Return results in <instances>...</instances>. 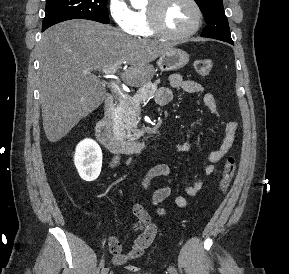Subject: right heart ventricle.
<instances>
[{
  "label": "right heart ventricle",
  "instance_id": "obj_1",
  "mask_svg": "<svg viewBox=\"0 0 289 274\" xmlns=\"http://www.w3.org/2000/svg\"><path fill=\"white\" fill-rule=\"evenodd\" d=\"M134 18H135V31L133 33L134 35L138 37H153L155 35L149 24L148 9H142L134 12Z\"/></svg>",
  "mask_w": 289,
  "mask_h": 274
}]
</instances>
